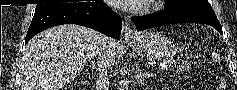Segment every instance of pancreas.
<instances>
[{
	"label": "pancreas",
	"instance_id": "pancreas-1",
	"mask_svg": "<svg viewBox=\"0 0 237 90\" xmlns=\"http://www.w3.org/2000/svg\"><path fill=\"white\" fill-rule=\"evenodd\" d=\"M186 69H190V64H181V67H179V72H186Z\"/></svg>",
	"mask_w": 237,
	"mask_h": 90
}]
</instances>
